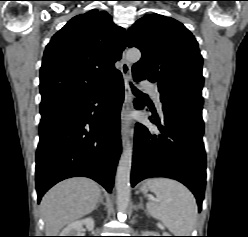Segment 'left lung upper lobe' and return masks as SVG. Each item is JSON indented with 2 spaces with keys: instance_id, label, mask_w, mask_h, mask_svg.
Here are the masks:
<instances>
[{
  "instance_id": "obj_1",
  "label": "left lung upper lobe",
  "mask_w": 248,
  "mask_h": 237,
  "mask_svg": "<svg viewBox=\"0 0 248 237\" xmlns=\"http://www.w3.org/2000/svg\"><path fill=\"white\" fill-rule=\"evenodd\" d=\"M128 47L142 58L132 67L136 82H156L161 101L203 103V58L192 33L179 21L158 14L146 15L128 30Z\"/></svg>"
}]
</instances>
